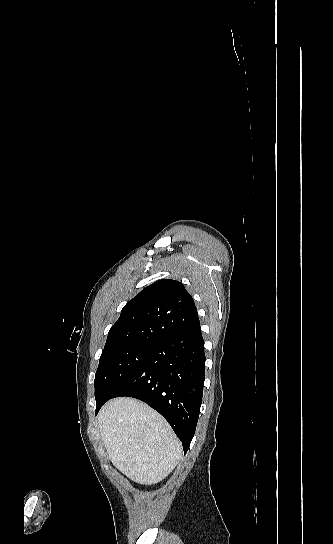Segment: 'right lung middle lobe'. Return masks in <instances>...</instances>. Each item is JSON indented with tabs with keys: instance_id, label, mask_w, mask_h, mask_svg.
<instances>
[{
	"instance_id": "right-lung-middle-lobe-1",
	"label": "right lung middle lobe",
	"mask_w": 333,
	"mask_h": 544,
	"mask_svg": "<svg viewBox=\"0 0 333 544\" xmlns=\"http://www.w3.org/2000/svg\"><path fill=\"white\" fill-rule=\"evenodd\" d=\"M153 344H132L103 351L95 375L96 409L111 399L146 362Z\"/></svg>"
}]
</instances>
